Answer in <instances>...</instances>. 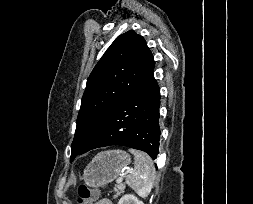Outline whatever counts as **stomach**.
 <instances>
[{"label": "stomach", "instance_id": "obj_1", "mask_svg": "<svg viewBox=\"0 0 253 204\" xmlns=\"http://www.w3.org/2000/svg\"><path fill=\"white\" fill-rule=\"evenodd\" d=\"M131 162L130 155L123 150H109L98 153L87 165L83 180L89 187H102L120 175Z\"/></svg>", "mask_w": 253, "mask_h": 204}]
</instances>
